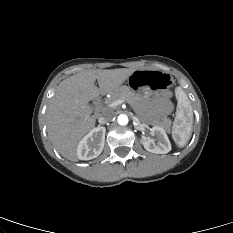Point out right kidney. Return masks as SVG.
<instances>
[{"instance_id": "ca27d5eb", "label": "right kidney", "mask_w": 233, "mask_h": 233, "mask_svg": "<svg viewBox=\"0 0 233 233\" xmlns=\"http://www.w3.org/2000/svg\"><path fill=\"white\" fill-rule=\"evenodd\" d=\"M104 127L92 129L77 146V156L80 160H91L98 157L104 148L105 142Z\"/></svg>"}]
</instances>
